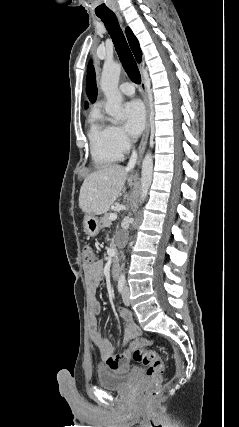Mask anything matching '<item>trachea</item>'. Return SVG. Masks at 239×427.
Returning a JSON list of instances; mask_svg holds the SVG:
<instances>
[{"label":"trachea","mask_w":239,"mask_h":427,"mask_svg":"<svg viewBox=\"0 0 239 427\" xmlns=\"http://www.w3.org/2000/svg\"><path fill=\"white\" fill-rule=\"evenodd\" d=\"M104 23L108 33L114 43L119 59L128 75L136 84L141 83V75L132 52L127 44L125 36L119 26L118 20L114 14L98 16Z\"/></svg>","instance_id":"1"}]
</instances>
